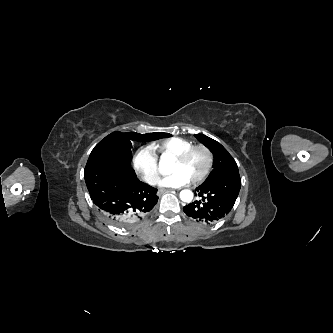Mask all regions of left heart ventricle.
Segmentation results:
<instances>
[{
  "mask_svg": "<svg viewBox=\"0 0 333 333\" xmlns=\"http://www.w3.org/2000/svg\"><path fill=\"white\" fill-rule=\"evenodd\" d=\"M206 164V154L201 150H196L192 152L183 163H178L174 161L171 171L173 173L180 171L192 181L204 171Z\"/></svg>",
  "mask_w": 333,
  "mask_h": 333,
  "instance_id": "1",
  "label": "left heart ventricle"
}]
</instances>
